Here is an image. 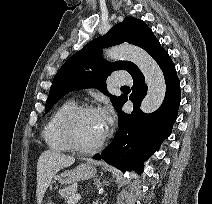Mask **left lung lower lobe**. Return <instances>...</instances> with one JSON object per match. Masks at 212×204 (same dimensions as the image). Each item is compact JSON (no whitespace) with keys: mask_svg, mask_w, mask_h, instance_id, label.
I'll return each mask as SVG.
<instances>
[{"mask_svg":"<svg viewBox=\"0 0 212 204\" xmlns=\"http://www.w3.org/2000/svg\"><path fill=\"white\" fill-rule=\"evenodd\" d=\"M163 71L166 81V94L162 105L153 113L145 114L140 104L147 93L145 78L139 71L133 75V86L130 100L134 109L131 114L121 111L127 97L117 110L119 114V131L113 142L94 159L105 160L108 164L123 171L135 170L139 173L143 161L159 149L160 144L172 131L180 104V83L175 65L166 50H160L154 57Z\"/></svg>","mask_w":212,"mask_h":204,"instance_id":"obj_1","label":"left lung lower lobe"}]
</instances>
